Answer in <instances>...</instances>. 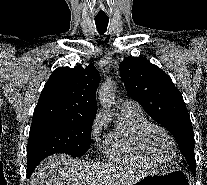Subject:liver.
Segmentation results:
<instances>
[{
	"label": "liver",
	"mask_w": 207,
	"mask_h": 185,
	"mask_svg": "<svg viewBox=\"0 0 207 185\" xmlns=\"http://www.w3.org/2000/svg\"><path fill=\"white\" fill-rule=\"evenodd\" d=\"M94 171L88 161L53 155L36 167L30 185H94Z\"/></svg>",
	"instance_id": "liver-1"
}]
</instances>
